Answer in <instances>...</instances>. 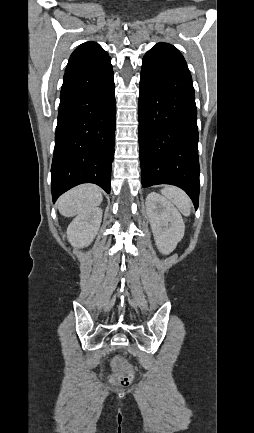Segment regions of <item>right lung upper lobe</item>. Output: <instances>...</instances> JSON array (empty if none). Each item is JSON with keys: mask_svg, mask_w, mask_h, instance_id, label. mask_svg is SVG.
Segmentation results:
<instances>
[{"mask_svg": "<svg viewBox=\"0 0 254 433\" xmlns=\"http://www.w3.org/2000/svg\"><path fill=\"white\" fill-rule=\"evenodd\" d=\"M110 57L96 42H85L78 46L71 54L66 72L95 66L108 60Z\"/></svg>", "mask_w": 254, "mask_h": 433, "instance_id": "cb5924a9", "label": "right lung upper lobe"}]
</instances>
